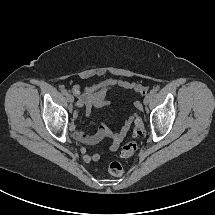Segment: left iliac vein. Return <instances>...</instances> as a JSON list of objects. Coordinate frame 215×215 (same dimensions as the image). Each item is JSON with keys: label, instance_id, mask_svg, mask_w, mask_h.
I'll use <instances>...</instances> for the list:
<instances>
[{"label": "left iliac vein", "instance_id": "left-iliac-vein-1", "mask_svg": "<svg viewBox=\"0 0 215 215\" xmlns=\"http://www.w3.org/2000/svg\"><path fill=\"white\" fill-rule=\"evenodd\" d=\"M151 98H152V96L150 94L146 95L143 100L144 105H148L151 101Z\"/></svg>", "mask_w": 215, "mask_h": 215}]
</instances>
